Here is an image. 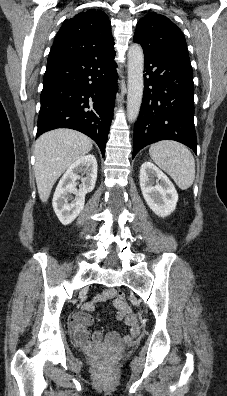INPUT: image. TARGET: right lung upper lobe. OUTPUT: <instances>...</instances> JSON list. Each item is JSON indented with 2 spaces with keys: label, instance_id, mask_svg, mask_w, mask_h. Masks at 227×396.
Returning a JSON list of instances; mask_svg holds the SVG:
<instances>
[{
  "label": "right lung upper lobe",
  "instance_id": "obj_1",
  "mask_svg": "<svg viewBox=\"0 0 227 396\" xmlns=\"http://www.w3.org/2000/svg\"><path fill=\"white\" fill-rule=\"evenodd\" d=\"M114 46L106 13L90 9L63 22L52 45L47 65L87 56Z\"/></svg>",
  "mask_w": 227,
  "mask_h": 396
}]
</instances>
